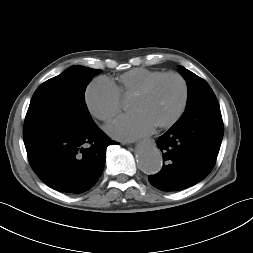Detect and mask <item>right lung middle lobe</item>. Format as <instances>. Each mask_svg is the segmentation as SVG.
Returning a JSON list of instances; mask_svg holds the SVG:
<instances>
[{
    "label": "right lung middle lobe",
    "mask_w": 253,
    "mask_h": 253,
    "mask_svg": "<svg viewBox=\"0 0 253 253\" xmlns=\"http://www.w3.org/2000/svg\"><path fill=\"white\" fill-rule=\"evenodd\" d=\"M99 73L101 70L75 65L41 84L26 114L25 146L60 129L93 124L84 93L92 77Z\"/></svg>",
    "instance_id": "1"
}]
</instances>
